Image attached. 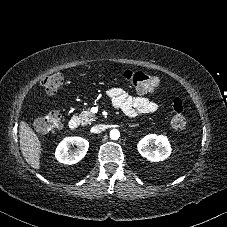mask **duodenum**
Segmentation results:
<instances>
[{
    "mask_svg": "<svg viewBox=\"0 0 227 227\" xmlns=\"http://www.w3.org/2000/svg\"><path fill=\"white\" fill-rule=\"evenodd\" d=\"M79 125H80L79 119L76 117L72 118L68 123V126L71 130H77L79 128Z\"/></svg>",
    "mask_w": 227,
    "mask_h": 227,
    "instance_id": "duodenum-1",
    "label": "duodenum"
}]
</instances>
